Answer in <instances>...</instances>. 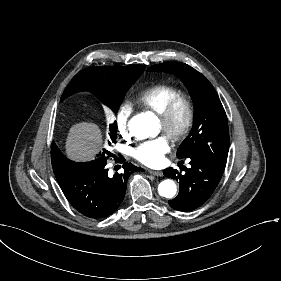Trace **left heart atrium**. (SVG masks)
<instances>
[{"label":"left heart atrium","instance_id":"39dd6f15","mask_svg":"<svg viewBox=\"0 0 281 281\" xmlns=\"http://www.w3.org/2000/svg\"><path fill=\"white\" fill-rule=\"evenodd\" d=\"M169 151V143L166 137L161 136L146 141L132 150V156L138 162L149 166L158 167L165 161L164 155Z\"/></svg>","mask_w":281,"mask_h":281}]
</instances>
